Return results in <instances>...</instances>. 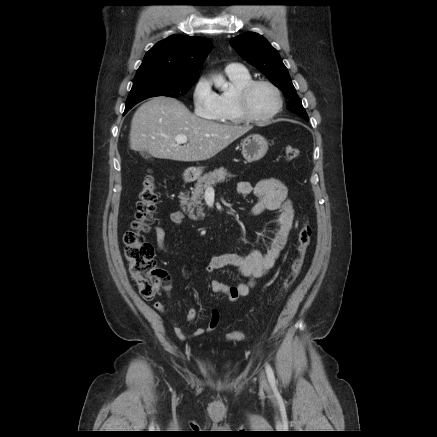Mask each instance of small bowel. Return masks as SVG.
Wrapping results in <instances>:
<instances>
[{"label":"small bowel","mask_w":437,"mask_h":437,"mask_svg":"<svg viewBox=\"0 0 437 437\" xmlns=\"http://www.w3.org/2000/svg\"><path fill=\"white\" fill-rule=\"evenodd\" d=\"M236 192L241 197L253 195L256 198L255 203L250 209L252 215H259L264 211H274L276 213V230L264 253L256 248L251 249L246 254L224 253L213 256L207 264L206 271L209 273L226 267H234L247 279V282L236 285H228L217 279L212 280V290L225 295L230 302L248 295L255 283L273 268L287 244L293 227L295 213L292 201L288 195V189L278 178H265L255 184L242 181L238 183ZM184 219L185 215L181 211H174L170 214V220L174 225L182 224ZM154 235L159 249L168 252L165 245V230L160 226H156L154 227ZM163 288L169 295L171 285L167 275H165ZM153 306L157 311L165 313L162 302L157 301ZM196 318L197 311L194 308H190L187 311L186 320L191 322ZM219 319V311L212 309L207 328L198 327L191 333L186 332L176 321L173 320V323L175 324V333L178 338L185 340L191 336H199L205 332L215 330L219 324Z\"/></svg>","instance_id":"obj_1"}]
</instances>
